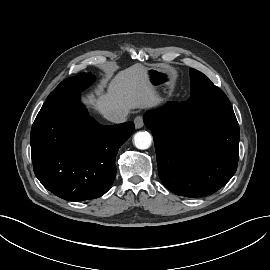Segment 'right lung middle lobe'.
<instances>
[{
    "instance_id": "obj_1",
    "label": "right lung middle lobe",
    "mask_w": 270,
    "mask_h": 270,
    "mask_svg": "<svg viewBox=\"0 0 270 270\" xmlns=\"http://www.w3.org/2000/svg\"><path fill=\"white\" fill-rule=\"evenodd\" d=\"M94 80L91 74L82 73L62 81L47 97V101L63 100L71 95L79 94Z\"/></svg>"
}]
</instances>
